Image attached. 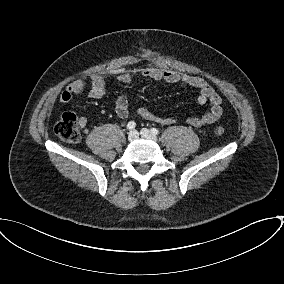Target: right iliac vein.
<instances>
[{
	"label": "right iliac vein",
	"instance_id": "right-iliac-vein-1",
	"mask_svg": "<svg viewBox=\"0 0 284 284\" xmlns=\"http://www.w3.org/2000/svg\"><path fill=\"white\" fill-rule=\"evenodd\" d=\"M137 138H138V132H137V131L132 130V131L129 132V134H128V140H129L130 142L136 140Z\"/></svg>",
	"mask_w": 284,
	"mask_h": 284
}]
</instances>
